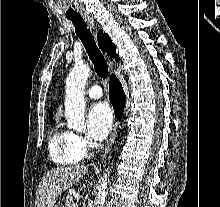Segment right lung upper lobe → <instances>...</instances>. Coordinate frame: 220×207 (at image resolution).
I'll use <instances>...</instances> for the list:
<instances>
[{"label":"right lung upper lobe","instance_id":"right-lung-upper-lobe-1","mask_svg":"<svg viewBox=\"0 0 220 207\" xmlns=\"http://www.w3.org/2000/svg\"><path fill=\"white\" fill-rule=\"evenodd\" d=\"M100 34H102V36H100ZM98 43L103 53L106 52L110 57L115 56L116 61L119 60V57L116 55L115 45L112 43L111 38L107 34H103L102 30H99L98 33ZM49 117H53L52 109H50Z\"/></svg>","mask_w":220,"mask_h":207}]
</instances>
